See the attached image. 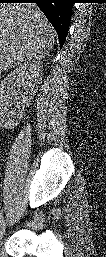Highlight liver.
Returning a JSON list of instances; mask_svg holds the SVG:
<instances>
[{"mask_svg": "<svg viewBox=\"0 0 106 257\" xmlns=\"http://www.w3.org/2000/svg\"><path fill=\"white\" fill-rule=\"evenodd\" d=\"M54 30L34 3L0 5V70L44 58L54 46Z\"/></svg>", "mask_w": 106, "mask_h": 257, "instance_id": "liver-1", "label": "liver"}]
</instances>
